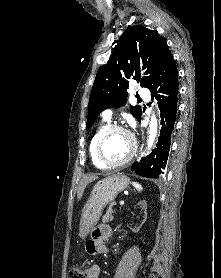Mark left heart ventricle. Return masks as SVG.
Segmentation results:
<instances>
[{
    "mask_svg": "<svg viewBox=\"0 0 221 278\" xmlns=\"http://www.w3.org/2000/svg\"><path fill=\"white\" fill-rule=\"evenodd\" d=\"M132 142L130 137L121 131L107 136L102 146L103 158L110 163L124 160L130 153Z\"/></svg>",
    "mask_w": 221,
    "mask_h": 278,
    "instance_id": "b2bd125f",
    "label": "left heart ventricle"
}]
</instances>
